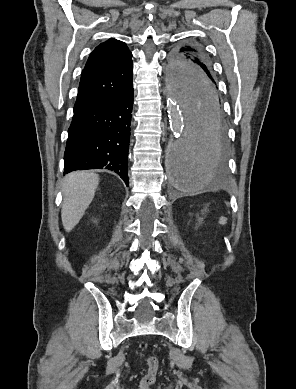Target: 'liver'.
<instances>
[{"instance_id": "liver-1", "label": "liver", "mask_w": 296, "mask_h": 389, "mask_svg": "<svg viewBox=\"0 0 296 389\" xmlns=\"http://www.w3.org/2000/svg\"><path fill=\"white\" fill-rule=\"evenodd\" d=\"M98 183L99 176L90 171L72 172L64 178L61 219L67 232L79 223L94 198Z\"/></svg>"}]
</instances>
